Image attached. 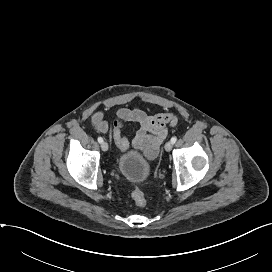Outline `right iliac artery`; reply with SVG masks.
<instances>
[{"label":"right iliac artery","instance_id":"82829eb1","mask_svg":"<svg viewBox=\"0 0 272 272\" xmlns=\"http://www.w3.org/2000/svg\"><path fill=\"white\" fill-rule=\"evenodd\" d=\"M97 140H98L99 143H102V142H103V138H102V137H98Z\"/></svg>","mask_w":272,"mask_h":272}]
</instances>
